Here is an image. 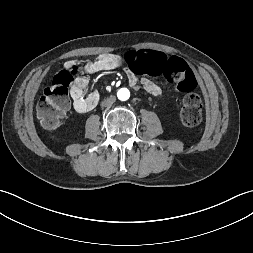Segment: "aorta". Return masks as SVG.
Here are the masks:
<instances>
[{"label":"aorta","instance_id":"aorta-1","mask_svg":"<svg viewBox=\"0 0 253 253\" xmlns=\"http://www.w3.org/2000/svg\"><path fill=\"white\" fill-rule=\"evenodd\" d=\"M117 96L120 100L125 101L129 98L130 96V92L127 88H121L118 93Z\"/></svg>","mask_w":253,"mask_h":253}]
</instances>
